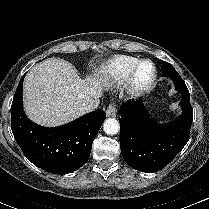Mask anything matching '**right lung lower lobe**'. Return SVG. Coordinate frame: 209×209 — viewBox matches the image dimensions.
<instances>
[{
  "label": "right lung lower lobe",
  "instance_id": "right-lung-lower-lobe-1",
  "mask_svg": "<svg viewBox=\"0 0 209 209\" xmlns=\"http://www.w3.org/2000/svg\"><path fill=\"white\" fill-rule=\"evenodd\" d=\"M16 89L11 105V129L24 155L35 166L54 174H65L82 167L106 114L92 112L57 128L41 127L30 121L22 104V85Z\"/></svg>",
  "mask_w": 209,
  "mask_h": 209
}]
</instances>
